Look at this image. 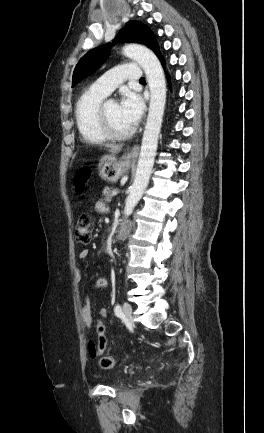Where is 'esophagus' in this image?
<instances>
[{"label":"esophagus","mask_w":264,"mask_h":433,"mask_svg":"<svg viewBox=\"0 0 264 433\" xmlns=\"http://www.w3.org/2000/svg\"><path fill=\"white\" fill-rule=\"evenodd\" d=\"M138 152H139V147H138V145H135L131 149L130 153L128 154V157L131 159H135L138 156Z\"/></svg>","instance_id":"esophagus-1"}]
</instances>
